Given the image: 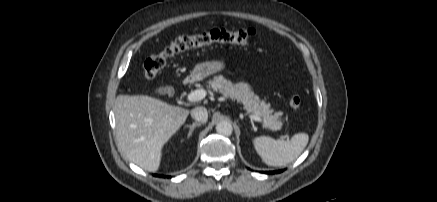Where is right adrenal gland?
<instances>
[{
    "label": "right adrenal gland",
    "instance_id": "obj_1",
    "mask_svg": "<svg viewBox=\"0 0 437 202\" xmlns=\"http://www.w3.org/2000/svg\"><path fill=\"white\" fill-rule=\"evenodd\" d=\"M200 125H201V123H198V122H195V123H193L192 125H186L185 127H188V128H189V132H188L187 138H189V137L192 135V132L194 131V129H195L197 126H200Z\"/></svg>",
    "mask_w": 437,
    "mask_h": 202
}]
</instances>
